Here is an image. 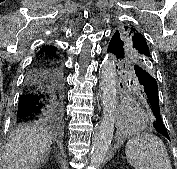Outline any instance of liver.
Masks as SVG:
<instances>
[{"label": "liver", "instance_id": "1", "mask_svg": "<svg viewBox=\"0 0 177 169\" xmlns=\"http://www.w3.org/2000/svg\"><path fill=\"white\" fill-rule=\"evenodd\" d=\"M51 144L52 136L43 127L20 132L5 147L2 169H36L47 160L45 153Z\"/></svg>", "mask_w": 177, "mask_h": 169}]
</instances>
